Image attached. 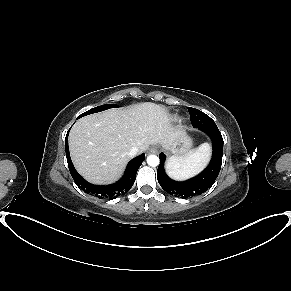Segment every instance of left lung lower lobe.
<instances>
[{
  "mask_svg": "<svg viewBox=\"0 0 291 291\" xmlns=\"http://www.w3.org/2000/svg\"><path fill=\"white\" fill-rule=\"evenodd\" d=\"M198 119L191 124L205 132L212 140L213 153L210 164L199 175L183 181L177 182L170 179L164 170L165 155H159L160 165L157 170V179L165 192L172 196L190 198L198 196L207 191L215 182L222 164L223 138L213 119L205 113H199Z\"/></svg>",
  "mask_w": 291,
  "mask_h": 291,
  "instance_id": "obj_1",
  "label": "left lung lower lobe"
}]
</instances>
